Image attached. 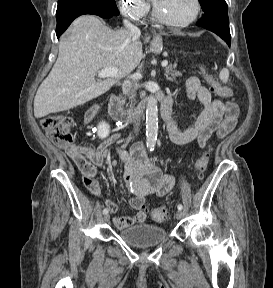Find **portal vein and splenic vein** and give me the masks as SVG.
Here are the masks:
<instances>
[{
  "mask_svg": "<svg viewBox=\"0 0 273 288\" xmlns=\"http://www.w3.org/2000/svg\"><path fill=\"white\" fill-rule=\"evenodd\" d=\"M162 67H166L168 65V61H163L161 63ZM98 77L100 78H117L118 77V70L116 68H105L98 72ZM132 79H141L142 75L140 73H135L131 75Z\"/></svg>",
  "mask_w": 273,
  "mask_h": 288,
  "instance_id": "1",
  "label": "portal vein and splenic vein"
}]
</instances>
